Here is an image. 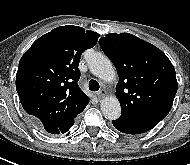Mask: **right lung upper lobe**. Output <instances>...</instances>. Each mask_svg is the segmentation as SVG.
I'll use <instances>...</instances> for the list:
<instances>
[{"instance_id":"obj_1","label":"right lung upper lobe","mask_w":190,"mask_h":165,"mask_svg":"<svg viewBox=\"0 0 190 165\" xmlns=\"http://www.w3.org/2000/svg\"><path fill=\"white\" fill-rule=\"evenodd\" d=\"M99 36L78 26L57 27L37 39L20 59L16 75L20 102L46 132H68L89 103L77 84L78 64Z\"/></svg>"}]
</instances>
